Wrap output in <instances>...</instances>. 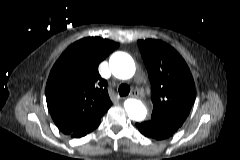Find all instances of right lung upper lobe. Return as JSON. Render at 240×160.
<instances>
[{
	"label": "right lung upper lobe",
	"mask_w": 240,
	"mask_h": 160,
	"mask_svg": "<svg viewBox=\"0 0 240 160\" xmlns=\"http://www.w3.org/2000/svg\"><path fill=\"white\" fill-rule=\"evenodd\" d=\"M118 46L99 37L83 38L70 45L54 64L46 84V101L64 134L100 120L112 105L98 66Z\"/></svg>",
	"instance_id": "right-lung-upper-lobe-1"
}]
</instances>
